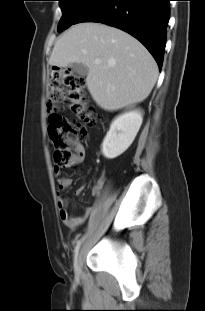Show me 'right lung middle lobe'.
Listing matches in <instances>:
<instances>
[{
    "mask_svg": "<svg viewBox=\"0 0 205 311\" xmlns=\"http://www.w3.org/2000/svg\"><path fill=\"white\" fill-rule=\"evenodd\" d=\"M62 9V17L58 24V32L73 25L93 0H58Z\"/></svg>",
    "mask_w": 205,
    "mask_h": 311,
    "instance_id": "obj_1",
    "label": "right lung middle lobe"
}]
</instances>
